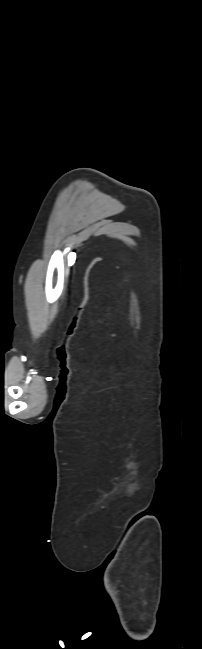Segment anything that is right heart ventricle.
Returning a JSON list of instances; mask_svg holds the SVG:
<instances>
[{
  "mask_svg": "<svg viewBox=\"0 0 202 649\" xmlns=\"http://www.w3.org/2000/svg\"><path fill=\"white\" fill-rule=\"evenodd\" d=\"M91 633H88L86 636H90Z\"/></svg>",
  "mask_w": 202,
  "mask_h": 649,
  "instance_id": "e07e8e85",
  "label": "right heart ventricle"
}]
</instances>
